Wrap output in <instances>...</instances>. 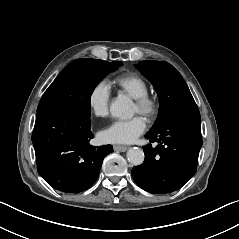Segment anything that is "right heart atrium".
<instances>
[{
	"label": "right heart atrium",
	"mask_w": 239,
	"mask_h": 239,
	"mask_svg": "<svg viewBox=\"0 0 239 239\" xmlns=\"http://www.w3.org/2000/svg\"><path fill=\"white\" fill-rule=\"evenodd\" d=\"M110 98L111 90L109 86L103 81L95 83L87 94V104L90 113L95 117L107 115Z\"/></svg>",
	"instance_id": "obj_1"
}]
</instances>
